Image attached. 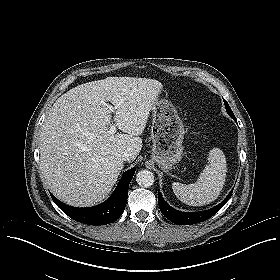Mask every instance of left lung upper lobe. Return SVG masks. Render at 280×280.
Returning a JSON list of instances; mask_svg holds the SVG:
<instances>
[{
	"label": "left lung upper lobe",
	"mask_w": 280,
	"mask_h": 280,
	"mask_svg": "<svg viewBox=\"0 0 280 280\" xmlns=\"http://www.w3.org/2000/svg\"><path fill=\"white\" fill-rule=\"evenodd\" d=\"M224 104H225L227 113H228L234 120H236V118H235V116H234V114H233V112H232V110H231L229 104L227 103V101H226L225 99H224ZM236 121H237V120H236Z\"/></svg>",
	"instance_id": "left-lung-upper-lobe-1"
}]
</instances>
